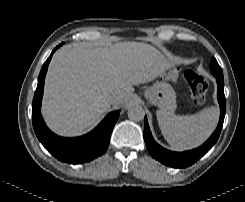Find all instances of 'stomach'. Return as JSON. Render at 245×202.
<instances>
[{"mask_svg":"<svg viewBox=\"0 0 245 202\" xmlns=\"http://www.w3.org/2000/svg\"><path fill=\"white\" fill-rule=\"evenodd\" d=\"M147 100L160 108V110L173 114L176 105V93L172 86L166 82H157L145 91Z\"/></svg>","mask_w":245,"mask_h":202,"instance_id":"obj_1","label":"stomach"}]
</instances>
